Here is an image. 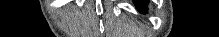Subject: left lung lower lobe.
<instances>
[{
  "mask_svg": "<svg viewBox=\"0 0 219 37\" xmlns=\"http://www.w3.org/2000/svg\"><path fill=\"white\" fill-rule=\"evenodd\" d=\"M136 4L141 11H146L145 5L147 4V0H136Z\"/></svg>",
  "mask_w": 219,
  "mask_h": 37,
  "instance_id": "left-lung-lower-lobe-1",
  "label": "left lung lower lobe"
}]
</instances>
